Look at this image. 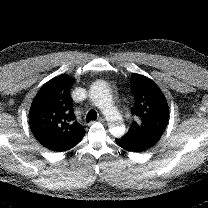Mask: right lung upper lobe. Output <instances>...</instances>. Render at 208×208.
<instances>
[{
    "label": "right lung upper lobe",
    "instance_id": "obj_1",
    "mask_svg": "<svg viewBox=\"0 0 208 208\" xmlns=\"http://www.w3.org/2000/svg\"><path fill=\"white\" fill-rule=\"evenodd\" d=\"M74 79L57 76L45 83L29 111V124L41 145L55 152L74 147L85 135L76 121L70 89Z\"/></svg>",
    "mask_w": 208,
    "mask_h": 208
}]
</instances>
